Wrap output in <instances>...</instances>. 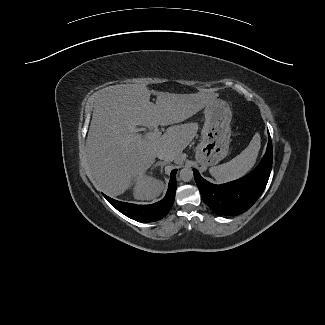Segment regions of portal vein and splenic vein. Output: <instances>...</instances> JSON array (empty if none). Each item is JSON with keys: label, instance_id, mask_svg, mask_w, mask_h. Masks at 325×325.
I'll use <instances>...</instances> for the list:
<instances>
[{"label": "portal vein and splenic vein", "instance_id": "portal-vein-and-splenic-vein-1", "mask_svg": "<svg viewBox=\"0 0 325 325\" xmlns=\"http://www.w3.org/2000/svg\"><path fill=\"white\" fill-rule=\"evenodd\" d=\"M161 132L160 131H154V132H149L146 134V138L150 139V140H155L157 138H159L161 136Z\"/></svg>", "mask_w": 325, "mask_h": 325}]
</instances>
